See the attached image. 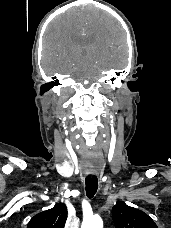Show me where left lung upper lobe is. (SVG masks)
Listing matches in <instances>:
<instances>
[{"label": "left lung upper lobe", "instance_id": "1", "mask_svg": "<svg viewBox=\"0 0 171 228\" xmlns=\"http://www.w3.org/2000/svg\"><path fill=\"white\" fill-rule=\"evenodd\" d=\"M116 228H158L155 222L143 211L117 202L112 209Z\"/></svg>", "mask_w": 171, "mask_h": 228}]
</instances>
